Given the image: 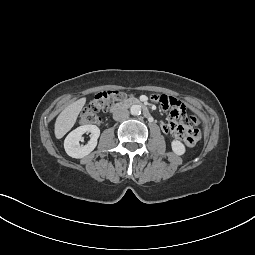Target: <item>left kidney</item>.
Returning a JSON list of instances; mask_svg holds the SVG:
<instances>
[{"mask_svg": "<svg viewBox=\"0 0 255 255\" xmlns=\"http://www.w3.org/2000/svg\"><path fill=\"white\" fill-rule=\"evenodd\" d=\"M171 147H172V150L173 152L176 154V155H183L185 153V146L182 142L178 141V140H173L171 142Z\"/></svg>", "mask_w": 255, "mask_h": 255, "instance_id": "5707ae66", "label": "left kidney"}]
</instances>
